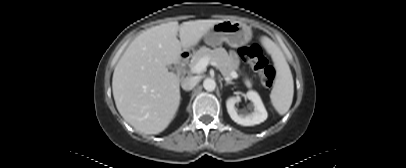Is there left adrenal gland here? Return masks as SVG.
<instances>
[{"label":"left adrenal gland","instance_id":"1","mask_svg":"<svg viewBox=\"0 0 406 168\" xmlns=\"http://www.w3.org/2000/svg\"><path fill=\"white\" fill-rule=\"evenodd\" d=\"M230 84H235V83L232 82V81H226L225 86H228V85H230Z\"/></svg>","mask_w":406,"mask_h":168}]
</instances>
